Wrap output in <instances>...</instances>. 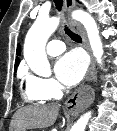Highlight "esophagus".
Instances as JSON below:
<instances>
[{"label": "esophagus", "mask_w": 117, "mask_h": 131, "mask_svg": "<svg viewBox=\"0 0 117 131\" xmlns=\"http://www.w3.org/2000/svg\"><path fill=\"white\" fill-rule=\"evenodd\" d=\"M64 5H65V10L69 17V22L71 27L75 31L80 33L83 40L84 47L91 57V64L86 75L87 84L85 86L78 88L65 103V109L69 113L78 114L86 107H88L94 100L95 93L90 83H92L96 78L95 63L91 54V50L89 47V43L85 31L77 21L73 20L70 17V14L75 7L74 0H64Z\"/></svg>", "instance_id": "1"}]
</instances>
